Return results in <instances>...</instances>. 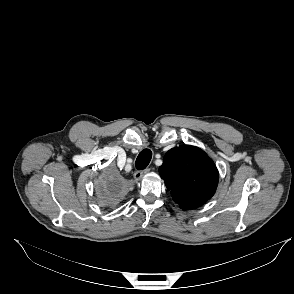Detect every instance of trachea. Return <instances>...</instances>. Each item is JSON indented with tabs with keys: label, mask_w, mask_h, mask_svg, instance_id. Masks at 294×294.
I'll return each instance as SVG.
<instances>
[{
	"label": "trachea",
	"mask_w": 294,
	"mask_h": 294,
	"mask_svg": "<svg viewBox=\"0 0 294 294\" xmlns=\"http://www.w3.org/2000/svg\"><path fill=\"white\" fill-rule=\"evenodd\" d=\"M152 152L149 149L141 151L136 159V168L138 170L145 169L151 161Z\"/></svg>",
	"instance_id": "trachea-1"
}]
</instances>
